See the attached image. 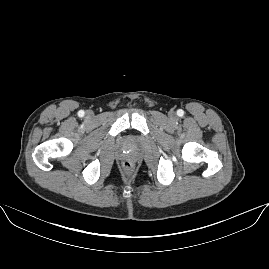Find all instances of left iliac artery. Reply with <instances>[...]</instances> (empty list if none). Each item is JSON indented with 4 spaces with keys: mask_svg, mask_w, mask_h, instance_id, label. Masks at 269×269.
Instances as JSON below:
<instances>
[{
    "mask_svg": "<svg viewBox=\"0 0 269 269\" xmlns=\"http://www.w3.org/2000/svg\"><path fill=\"white\" fill-rule=\"evenodd\" d=\"M177 115L180 116V117L183 116V115H184V111L181 110V109L178 110V111H177Z\"/></svg>",
    "mask_w": 269,
    "mask_h": 269,
    "instance_id": "left-iliac-artery-1",
    "label": "left iliac artery"
}]
</instances>
